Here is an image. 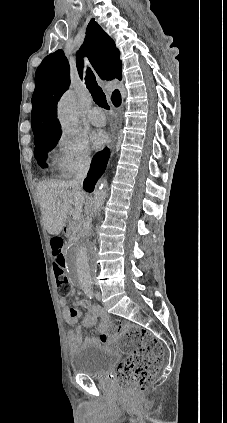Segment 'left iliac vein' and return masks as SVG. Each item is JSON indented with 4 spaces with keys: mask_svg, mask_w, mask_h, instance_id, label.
I'll return each instance as SVG.
<instances>
[{
    "mask_svg": "<svg viewBox=\"0 0 227 423\" xmlns=\"http://www.w3.org/2000/svg\"><path fill=\"white\" fill-rule=\"evenodd\" d=\"M95 296H96V299L97 300H99V301L102 300V295H101V292L100 291H97L96 294H95Z\"/></svg>",
    "mask_w": 227,
    "mask_h": 423,
    "instance_id": "obj_1",
    "label": "left iliac vein"
}]
</instances>
